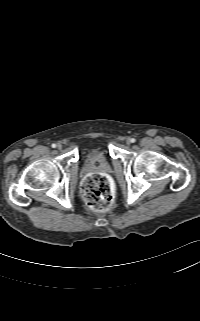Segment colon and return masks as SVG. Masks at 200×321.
I'll return each instance as SVG.
<instances>
[{"label": "colon", "mask_w": 200, "mask_h": 321, "mask_svg": "<svg viewBox=\"0 0 200 321\" xmlns=\"http://www.w3.org/2000/svg\"><path fill=\"white\" fill-rule=\"evenodd\" d=\"M81 192L87 205L94 210H106L112 205L111 184L105 174L93 173L86 176Z\"/></svg>", "instance_id": "colon-1"}]
</instances>
